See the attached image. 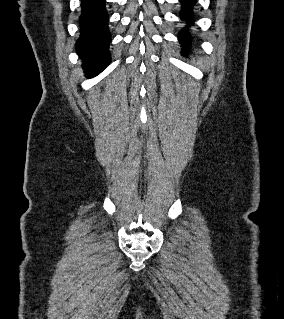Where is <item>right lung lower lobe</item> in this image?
I'll return each instance as SVG.
<instances>
[{
	"label": "right lung lower lobe",
	"mask_w": 284,
	"mask_h": 319,
	"mask_svg": "<svg viewBox=\"0 0 284 319\" xmlns=\"http://www.w3.org/2000/svg\"><path fill=\"white\" fill-rule=\"evenodd\" d=\"M80 23L76 50L83 59L85 71L93 77L103 71L110 61L108 46L111 38L105 0H82Z\"/></svg>",
	"instance_id": "obj_1"
}]
</instances>
